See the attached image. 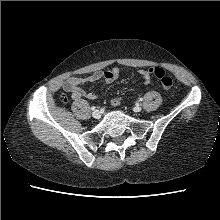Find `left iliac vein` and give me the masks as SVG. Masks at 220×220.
<instances>
[{
  "mask_svg": "<svg viewBox=\"0 0 220 220\" xmlns=\"http://www.w3.org/2000/svg\"><path fill=\"white\" fill-rule=\"evenodd\" d=\"M134 112H140L142 110L141 106L139 105H136L134 108H133Z\"/></svg>",
  "mask_w": 220,
  "mask_h": 220,
  "instance_id": "4c4485c4",
  "label": "left iliac vein"
}]
</instances>
